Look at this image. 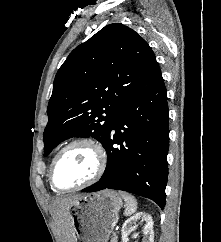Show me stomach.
<instances>
[{
  "instance_id": "1",
  "label": "stomach",
  "mask_w": 221,
  "mask_h": 242,
  "mask_svg": "<svg viewBox=\"0 0 221 242\" xmlns=\"http://www.w3.org/2000/svg\"><path fill=\"white\" fill-rule=\"evenodd\" d=\"M121 207V197L111 190L81 196L69 208L73 242H107Z\"/></svg>"
}]
</instances>
